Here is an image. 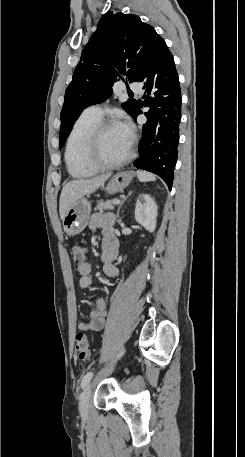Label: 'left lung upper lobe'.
<instances>
[{"label": "left lung upper lobe", "instance_id": "left-lung-upper-lobe-1", "mask_svg": "<svg viewBox=\"0 0 245 457\" xmlns=\"http://www.w3.org/2000/svg\"><path fill=\"white\" fill-rule=\"evenodd\" d=\"M163 39L136 15L108 12L84 48L73 79L67 87L61 111L60 148L83 108L105 101L122 76L137 81L154 50ZM137 102L122 107L130 115Z\"/></svg>", "mask_w": 245, "mask_h": 457}]
</instances>
